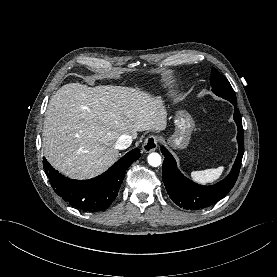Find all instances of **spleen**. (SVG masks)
Instances as JSON below:
<instances>
[{"label":"spleen","mask_w":277,"mask_h":277,"mask_svg":"<svg viewBox=\"0 0 277 277\" xmlns=\"http://www.w3.org/2000/svg\"><path fill=\"white\" fill-rule=\"evenodd\" d=\"M224 171V167L211 168L206 170L194 171L190 174V177L199 183L209 184L213 183L220 178Z\"/></svg>","instance_id":"3e777b00"}]
</instances>
